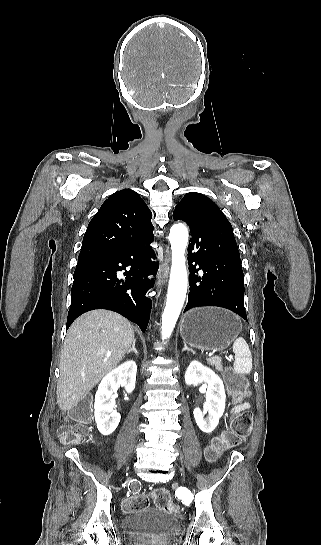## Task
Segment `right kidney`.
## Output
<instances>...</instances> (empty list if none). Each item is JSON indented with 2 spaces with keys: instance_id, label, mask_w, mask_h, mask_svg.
I'll list each match as a JSON object with an SVG mask.
<instances>
[{
  "instance_id": "1",
  "label": "right kidney",
  "mask_w": 321,
  "mask_h": 545,
  "mask_svg": "<svg viewBox=\"0 0 321 545\" xmlns=\"http://www.w3.org/2000/svg\"><path fill=\"white\" fill-rule=\"evenodd\" d=\"M137 365L135 361H126L102 379L95 395L94 417L101 435H111L120 423V415L114 411L116 393L122 385L126 393L135 389Z\"/></svg>"
}]
</instances>
